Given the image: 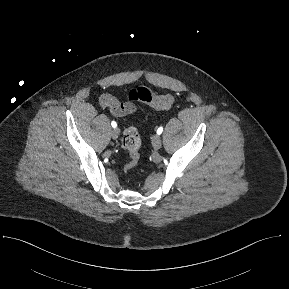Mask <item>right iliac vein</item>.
I'll use <instances>...</instances> for the list:
<instances>
[{
	"mask_svg": "<svg viewBox=\"0 0 289 289\" xmlns=\"http://www.w3.org/2000/svg\"><path fill=\"white\" fill-rule=\"evenodd\" d=\"M119 134H120V130L118 128H114L111 131V136L113 139H117L119 137Z\"/></svg>",
	"mask_w": 289,
	"mask_h": 289,
	"instance_id": "right-iliac-vein-1",
	"label": "right iliac vein"
}]
</instances>
